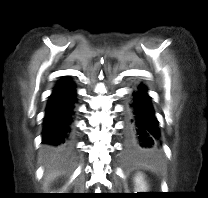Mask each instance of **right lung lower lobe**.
<instances>
[{
    "mask_svg": "<svg viewBox=\"0 0 208 198\" xmlns=\"http://www.w3.org/2000/svg\"><path fill=\"white\" fill-rule=\"evenodd\" d=\"M76 93L73 82L64 78L60 80L47 104L43 143L47 144V152L54 158L65 159L71 153L70 131Z\"/></svg>",
    "mask_w": 208,
    "mask_h": 198,
    "instance_id": "obj_1",
    "label": "right lung lower lobe"
}]
</instances>
